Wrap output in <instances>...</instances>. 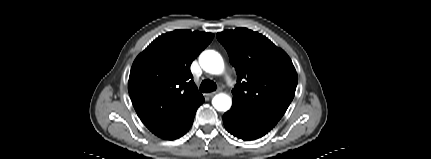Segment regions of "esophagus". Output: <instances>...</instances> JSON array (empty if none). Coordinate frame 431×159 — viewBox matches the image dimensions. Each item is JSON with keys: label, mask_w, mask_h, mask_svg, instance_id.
Returning <instances> with one entry per match:
<instances>
[{"label": "esophagus", "mask_w": 431, "mask_h": 159, "mask_svg": "<svg viewBox=\"0 0 431 159\" xmlns=\"http://www.w3.org/2000/svg\"><path fill=\"white\" fill-rule=\"evenodd\" d=\"M218 91L209 92L206 94L208 97H213Z\"/></svg>", "instance_id": "1"}]
</instances>
